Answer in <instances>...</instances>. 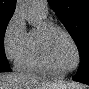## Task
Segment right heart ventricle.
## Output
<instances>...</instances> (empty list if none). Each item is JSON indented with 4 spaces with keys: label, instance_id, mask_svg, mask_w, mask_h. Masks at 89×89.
<instances>
[{
    "label": "right heart ventricle",
    "instance_id": "e07e8e85",
    "mask_svg": "<svg viewBox=\"0 0 89 89\" xmlns=\"http://www.w3.org/2000/svg\"><path fill=\"white\" fill-rule=\"evenodd\" d=\"M16 64L21 71L31 75L63 77L62 74L53 70L46 60L40 40V27L32 28L28 32L26 47Z\"/></svg>",
    "mask_w": 89,
    "mask_h": 89
}]
</instances>
